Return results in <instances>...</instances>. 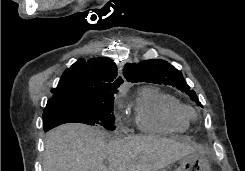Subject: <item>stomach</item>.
Wrapping results in <instances>:
<instances>
[{
	"label": "stomach",
	"instance_id": "0dacf381",
	"mask_svg": "<svg viewBox=\"0 0 245 171\" xmlns=\"http://www.w3.org/2000/svg\"><path fill=\"white\" fill-rule=\"evenodd\" d=\"M176 171H211V164L205 154L196 151L180 159Z\"/></svg>",
	"mask_w": 245,
	"mask_h": 171
}]
</instances>
